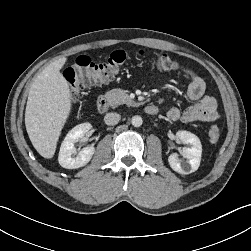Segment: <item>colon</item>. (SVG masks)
<instances>
[{"label":"colon","instance_id":"colon-1","mask_svg":"<svg viewBox=\"0 0 251 251\" xmlns=\"http://www.w3.org/2000/svg\"><path fill=\"white\" fill-rule=\"evenodd\" d=\"M145 55L143 51L129 53L116 50L102 62H95L87 56L78 57L75 64L64 72V77L69 85L71 101L77 102L85 89L112 80L131 56L143 57ZM150 60L160 71L178 68V63L166 53H154L150 55ZM219 137V128L212 126L209 130V140L216 143Z\"/></svg>","mask_w":251,"mask_h":251}]
</instances>
